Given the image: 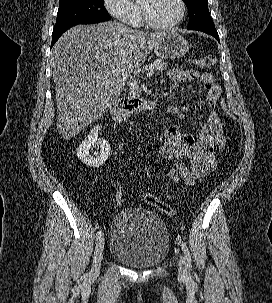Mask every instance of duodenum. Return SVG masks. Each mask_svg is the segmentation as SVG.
Returning a JSON list of instances; mask_svg holds the SVG:
<instances>
[{
    "label": "duodenum",
    "mask_w": 272,
    "mask_h": 303,
    "mask_svg": "<svg viewBox=\"0 0 272 303\" xmlns=\"http://www.w3.org/2000/svg\"><path fill=\"white\" fill-rule=\"evenodd\" d=\"M158 99H146L137 104L128 103L125 100L115 101L110 108V115L117 122L124 121L133 111L154 112L159 107Z\"/></svg>",
    "instance_id": "duodenum-1"
}]
</instances>
